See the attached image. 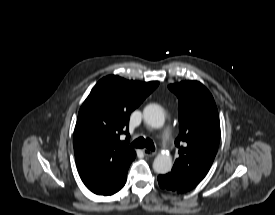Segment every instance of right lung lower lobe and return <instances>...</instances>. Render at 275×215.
<instances>
[{"label":"right lung lower lobe","instance_id":"obj_1","mask_svg":"<svg viewBox=\"0 0 275 215\" xmlns=\"http://www.w3.org/2000/svg\"><path fill=\"white\" fill-rule=\"evenodd\" d=\"M131 162L115 170L102 171L83 182L95 194L112 195L125 185L127 171Z\"/></svg>","mask_w":275,"mask_h":215}]
</instances>
